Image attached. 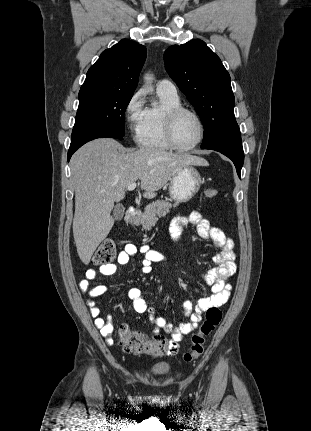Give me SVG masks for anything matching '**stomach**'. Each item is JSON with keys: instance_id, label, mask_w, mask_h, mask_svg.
I'll list each match as a JSON object with an SVG mask.
<instances>
[{"instance_id": "obj_1", "label": "stomach", "mask_w": 311, "mask_h": 431, "mask_svg": "<svg viewBox=\"0 0 311 431\" xmlns=\"http://www.w3.org/2000/svg\"><path fill=\"white\" fill-rule=\"evenodd\" d=\"M203 180L194 166H184L175 176L171 178L168 186V194L172 202L176 204H184L189 202L191 198L199 192ZM132 225H140V221L135 219Z\"/></svg>"}]
</instances>
